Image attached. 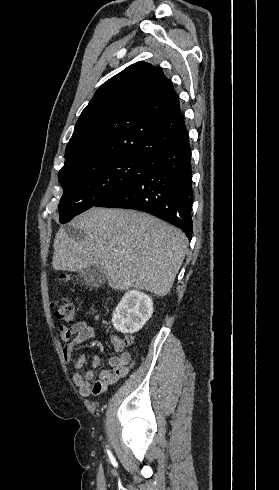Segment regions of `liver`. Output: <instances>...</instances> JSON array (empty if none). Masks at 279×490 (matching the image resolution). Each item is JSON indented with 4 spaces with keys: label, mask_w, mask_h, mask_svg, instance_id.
<instances>
[{
    "label": "liver",
    "mask_w": 279,
    "mask_h": 490,
    "mask_svg": "<svg viewBox=\"0 0 279 490\" xmlns=\"http://www.w3.org/2000/svg\"><path fill=\"white\" fill-rule=\"evenodd\" d=\"M85 234L71 240L64 228L53 244L54 270L101 266L113 290H147L167 296L183 264L188 240L166 222L120 208H91L70 222Z\"/></svg>",
    "instance_id": "liver-1"
}]
</instances>
